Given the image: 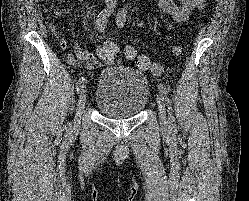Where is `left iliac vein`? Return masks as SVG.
Returning a JSON list of instances; mask_svg holds the SVG:
<instances>
[{
    "instance_id": "4c4485c4",
    "label": "left iliac vein",
    "mask_w": 249,
    "mask_h": 201,
    "mask_svg": "<svg viewBox=\"0 0 249 201\" xmlns=\"http://www.w3.org/2000/svg\"><path fill=\"white\" fill-rule=\"evenodd\" d=\"M157 104H158L160 125L163 130H167L169 125L167 120L166 106L164 98L161 94L157 95Z\"/></svg>"
}]
</instances>
